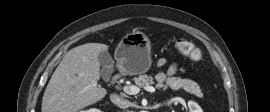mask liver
Here are the masks:
<instances>
[{"instance_id": "6515ba94", "label": "liver", "mask_w": 270, "mask_h": 112, "mask_svg": "<svg viewBox=\"0 0 270 112\" xmlns=\"http://www.w3.org/2000/svg\"><path fill=\"white\" fill-rule=\"evenodd\" d=\"M107 50L106 44L87 43L68 51L45 89L42 112H78L103 99L99 54Z\"/></svg>"}]
</instances>
